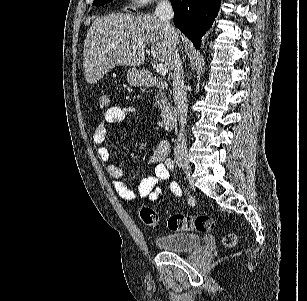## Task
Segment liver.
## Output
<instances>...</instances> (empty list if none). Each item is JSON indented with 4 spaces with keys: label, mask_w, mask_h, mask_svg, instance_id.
I'll use <instances>...</instances> for the list:
<instances>
[{
    "label": "liver",
    "mask_w": 307,
    "mask_h": 301,
    "mask_svg": "<svg viewBox=\"0 0 307 301\" xmlns=\"http://www.w3.org/2000/svg\"><path fill=\"white\" fill-rule=\"evenodd\" d=\"M166 26L155 14L112 12L93 20L85 38L83 68L87 82H98L115 66L143 64L146 48L156 62L172 70L174 46Z\"/></svg>",
    "instance_id": "liver-1"
}]
</instances>
